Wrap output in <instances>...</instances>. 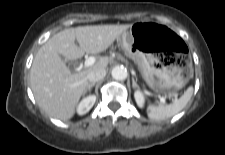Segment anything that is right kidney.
<instances>
[{"label":"right kidney","mask_w":225,"mask_h":155,"mask_svg":"<svg viewBox=\"0 0 225 155\" xmlns=\"http://www.w3.org/2000/svg\"><path fill=\"white\" fill-rule=\"evenodd\" d=\"M96 101V97L94 95H90L84 98L78 105L77 112L79 115H84L93 107Z\"/></svg>","instance_id":"ca27d5eb"}]
</instances>
